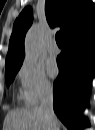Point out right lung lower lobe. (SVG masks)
Returning <instances> with one entry per match:
<instances>
[{"label":"right lung lower lobe","instance_id":"1","mask_svg":"<svg viewBox=\"0 0 95 130\" xmlns=\"http://www.w3.org/2000/svg\"><path fill=\"white\" fill-rule=\"evenodd\" d=\"M59 75L54 82L53 106L58 118L69 130H82L87 118L82 111V96L90 89L95 63V25L64 40V50L57 58Z\"/></svg>","mask_w":95,"mask_h":130}]
</instances>
